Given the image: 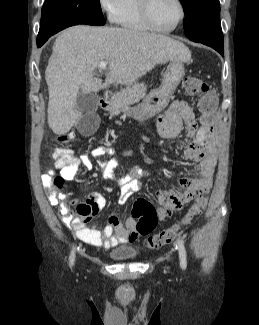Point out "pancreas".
Returning a JSON list of instances; mask_svg holds the SVG:
<instances>
[{
  "label": "pancreas",
  "mask_w": 259,
  "mask_h": 325,
  "mask_svg": "<svg viewBox=\"0 0 259 325\" xmlns=\"http://www.w3.org/2000/svg\"><path fill=\"white\" fill-rule=\"evenodd\" d=\"M147 86L145 83H134L121 89L111 98V104L116 107L129 106L140 101L146 95Z\"/></svg>",
  "instance_id": "1"
}]
</instances>
